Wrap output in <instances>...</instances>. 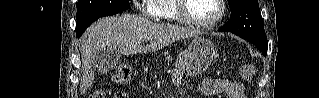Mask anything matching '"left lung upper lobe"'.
<instances>
[{
    "mask_svg": "<svg viewBox=\"0 0 319 98\" xmlns=\"http://www.w3.org/2000/svg\"><path fill=\"white\" fill-rule=\"evenodd\" d=\"M228 3L231 9L230 21L221 28L255 45H267L258 0H228Z\"/></svg>",
    "mask_w": 319,
    "mask_h": 98,
    "instance_id": "left-lung-upper-lobe-1",
    "label": "left lung upper lobe"
}]
</instances>
